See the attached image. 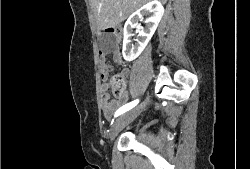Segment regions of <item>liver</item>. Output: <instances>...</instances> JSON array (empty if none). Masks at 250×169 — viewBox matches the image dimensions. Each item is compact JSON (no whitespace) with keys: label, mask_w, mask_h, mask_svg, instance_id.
<instances>
[{"label":"liver","mask_w":250,"mask_h":169,"mask_svg":"<svg viewBox=\"0 0 250 169\" xmlns=\"http://www.w3.org/2000/svg\"><path fill=\"white\" fill-rule=\"evenodd\" d=\"M93 12L96 16L98 30H104L109 26H117L125 20L133 10L148 0H90ZM167 2V0H160Z\"/></svg>","instance_id":"liver-1"}]
</instances>
